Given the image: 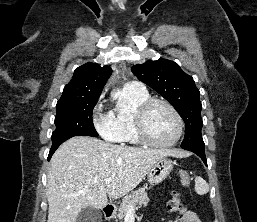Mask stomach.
I'll return each mask as SVG.
<instances>
[{
    "mask_svg": "<svg viewBox=\"0 0 257 222\" xmlns=\"http://www.w3.org/2000/svg\"><path fill=\"white\" fill-rule=\"evenodd\" d=\"M173 168V163L170 159L163 157L158 159L148 172V181L151 185L161 183L169 175Z\"/></svg>",
    "mask_w": 257,
    "mask_h": 222,
    "instance_id": "1",
    "label": "stomach"
}]
</instances>
